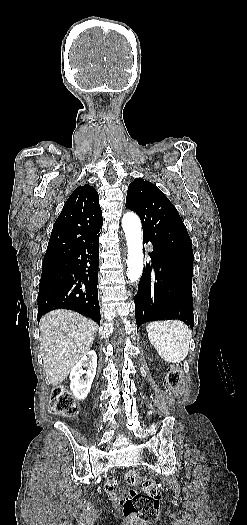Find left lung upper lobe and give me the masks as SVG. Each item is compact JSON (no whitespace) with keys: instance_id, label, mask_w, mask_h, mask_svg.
I'll use <instances>...</instances> for the list:
<instances>
[{"instance_id":"left-lung-upper-lobe-1","label":"left lung upper lobe","mask_w":247,"mask_h":525,"mask_svg":"<svg viewBox=\"0 0 247 525\" xmlns=\"http://www.w3.org/2000/svg\"><path fill=\"white\" fill-rule=\"evenodd\" d=\"M126 208L142 221L143 234L161 240L172 252L193 263L192 243L174 205L154 184L138 178L128 186Z\"/></svg>"}]
</instances>
